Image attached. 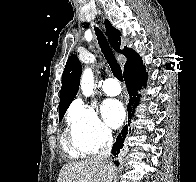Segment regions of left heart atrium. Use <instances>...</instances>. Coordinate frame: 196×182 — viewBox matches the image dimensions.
I'll return each instance as SVG.
<instances>
[{
  "mask_svg": "<svg viewBox=\"0 0 196 182\" xmlns=\"http://www.w3.org/2000/svg\"><path fill=\"white\" fill-rule=\"evenodd\" d=\"M101 111L106 123L111 128L119 127L125 118L123 105L115 99L105 100L102 104Z\"/></svg>",
  "mask_w": 196,
  "mask_h": 182,
  "instance_id": "left-heart-atrium-1",
  "label": "left heart atrium"
}]
</instances>
